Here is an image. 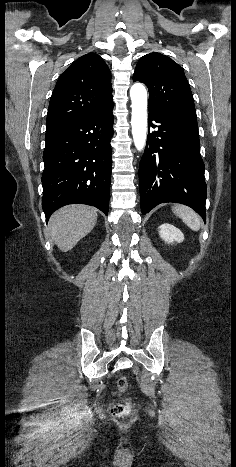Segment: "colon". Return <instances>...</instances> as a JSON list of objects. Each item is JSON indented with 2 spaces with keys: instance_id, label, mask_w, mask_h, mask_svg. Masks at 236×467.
I'll list each match as a JSON object with an SVG mask.
<instances>
[{
  "instance_id": "colon-1",
  "label": "colon",
  "mask_w": 236,
  "mask_h": 467,
  "mask_svg": "<svg viewBox=\"0 0 236 467\" xmlns=\"http://www.w3.org/2000/svg\"><path fill=\"white\" fill-rule=\"evenodd\" d=\"M128 387V381L125 376H120L117 381L118 392L123 395ZM132 408V403L126 400L124 403H116L111 407V414L116 418H123L126 416Z\"/></svg>"
}]
</instances>
